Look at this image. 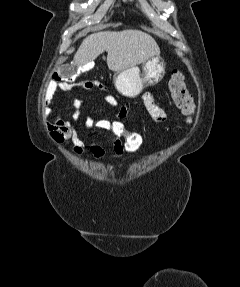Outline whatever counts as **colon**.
<instances>
[{
	"mask_svg": "<svg viewBox=\"0 0 240 287\" xmlns=\"http://www.w3.org/2000/svg\"><path fill=\"white\" fill-rule=\"evenodd\" d=\"M54 80L65 87L66 91L76 88L92 89L95 87V82L91 80H82L77 82H70L61 74H55ZM168 88L176 107L189 119L194 113V103L189 94L185 79L182 72L175 70L171 74L168 82ZM82 105L81 99H75L73 102V119L78 121L80 119V107ZM87 128L97 130L108 134L113 140L120 141L123 146L124 154L129 156H137L143 149L144 138L139 132L130 130L125 121L120 119H92L85 120Z\"/></svg>",
	"mask_w": 240,
	"mask_h": 287,
	"instance_id": "obj_1",
	"label": "colon"
}]
</instances>
